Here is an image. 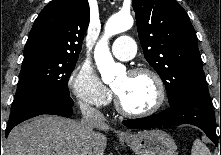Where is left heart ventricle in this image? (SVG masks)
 Returning a JSON list of instances; mask_svg holds the SVG:
<instances>
[{"instance_id": "left-heart-ventricle-1", "label": "left heart ventricle", "mask_w": 221, "mask_h": 155, "mask_svg": "<svg viewBox=\"0 0 221 155\" xmlns=\"http://www.w3.org/2000/svg\"><path fill=\"white\" fill-rule=\"evenodd\" d=\"M113 88L126 109L141 112L151 108L157 100V87L153 78L147 74L129 75L117 78Z\"/></svg>"}]
</instances>
